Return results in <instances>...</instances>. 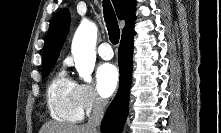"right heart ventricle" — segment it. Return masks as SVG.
<instances>
[{
    "mask_svg": "<svg viewBox=\"0 0 221 133\" xmlns=\"http://www.w3.org/2000/svg\"><path fill=\"white\" fill-rule=\"evenodd\" d=\"M47 105L50 116L57 122L72 124L83 118L78 84L64 70L57 72L48 84Z\"/></svg>",
    "mask_w": 221,
    "mask_h": 133,
    "instance_id": "right-heart-ventricle-1",
    "label": "right heart ventricle"
}]
</instances>
